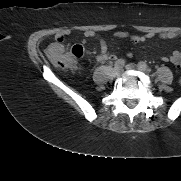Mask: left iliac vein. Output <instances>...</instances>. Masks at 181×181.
<instances>
[{"mask_svg":"<svg viewBox=\"0 0 181 181\" xmlns=\"http://www.w3.org/2000/svg\"><path fill=\"white\" fill-rule=\"evenodd\" d=\"M126 69H128V70L137 69V70H141V71H142V69H141L139 66H137V65H135V64H133V63L127 64V65H126Z\"/></svg>","mask_w":181,"mask_h":181,"instance_id":"obj_1","label":"left iliac vein"}]
</instances>
